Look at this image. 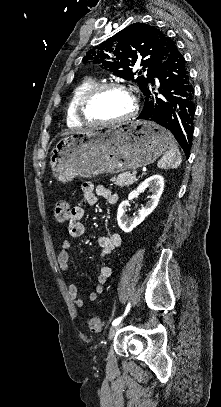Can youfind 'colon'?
Instances as JSON below:
<instances>
[{
  "instance_id": "5ec220e1",
  "label": "colon",
  "mask_w": 221,
  "mask_h": 407,
  "mask_svg": "<svg viewBox=\"0 0 221 407\" xmlns=\"http://www.w3.org/2000/svg\"><path fill=\"white\" fill-rule=\"evenodd\" d=\"M72 214V208L66 202H60L56 205L55 216L59 222L68 223ZM103 322L100 318L94 317L88 322V329L91 333H100L103 331Z\"/></svg>"
}]
</instances>
